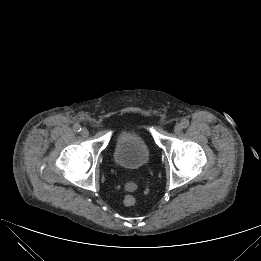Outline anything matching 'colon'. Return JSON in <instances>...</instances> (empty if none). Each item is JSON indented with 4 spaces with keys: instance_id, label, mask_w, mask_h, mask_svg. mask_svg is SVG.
Instances as JSON below:
<instances>
[{
    "instance_id": "obj_1",
    "label": "colon",
    "mask_w": 261,
    "mask_h": 261,
    "mask_svg": "<svg viewBox=\"0 0 261 261\" xmlns=\"http://www.w3.org/2000/svg\"><path fill=\"white\" fill-rule=\"evenodd\" d=\"M135 202L136 199L131 193L126 194L123 198V203L125 206H133Z\"/></svg>"
}]
</instances>
